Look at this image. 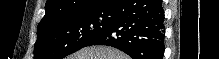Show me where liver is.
Masks as SVG:
<instances>
[{"label": "liver", "instance_id": "obj_1", "mask_svg": "<svg viewBox=\"0 0 219 59\" xmlns=\"http://www.w3.org/2000/svg\"><path fill=\"white\" fill-rule=\"evenodd\" d=\"M67 59H129V56L114 48L92 46L79 50Z\"/></svg>", "mask_w": 219, "mask_h": 59}]
</instances>
